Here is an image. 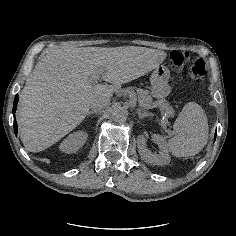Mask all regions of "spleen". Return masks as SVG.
I'll use <instances>...</instances> for the list:
<instances>
[{
  "instance_id": "obj_1",
  "label": "spleen",
  "mask_w": 236,
  "mask_h": 236,
  "mask_svg": "<svg viewBox=\"0 0 236 236\" xmlns=\"http://www.w3.org/2000/svg\"><path fill=\"white\" fill-rule=\"evenodd\" d=\"M174 137L168 142L169 149L177 157L198 154L207 144L208 119L203 108L196 102L187 103L173 125Z\"/></svg>"
}]
</instances>
